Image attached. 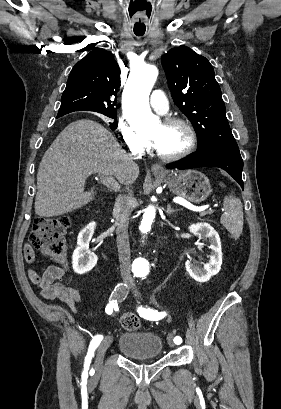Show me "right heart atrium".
I'll return each instance as SVG.
<instances>
[{
    "instance_id": "obj_1",
    "label": "right heart atrium",
    "mask_w": 281,
    "mask_h": 409,
    "mask_svg": "<svg viewBox=\"0 0 281 409\" xmlns=\"http://www.w3.org/2000/svg\"><path fill=\"white\" fill-rule=\"evenodd\" d=\"M143 115H121L117 121V130L122 137L124 145L135 152L145 148L144 138L139 136V129L142 126Z\"/></svg>"
}]
</instances>
